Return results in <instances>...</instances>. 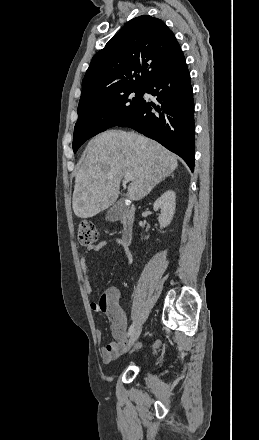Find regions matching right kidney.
Returning a JSON list of instances; mask_svg holds the SVG:
<instances>
[{
	"mask_svg": "<svg viewBox=\"0 0 259 440\" xmlns=\"http://www.w3.org/2000/svg\"><path fill=\"white\" fill-rule=\"evenodd\" d=\"M175 200V192L172 190H168L155 201L153 205L154 210H161V214L158 217L160 229L167 227L171 223L173 215L175 213ZM148 238L149 236L146 237V239Z\"/></svg>",
	"mask_w": 259,
	"mask_h": 440,
	"instance_id": "obj_1",
	"label": "right kidney"
}]
</instances>
